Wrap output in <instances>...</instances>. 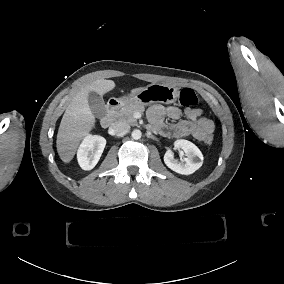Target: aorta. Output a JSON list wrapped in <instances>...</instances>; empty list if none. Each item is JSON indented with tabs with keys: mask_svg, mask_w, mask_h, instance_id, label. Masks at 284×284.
Masks as SVG:
<instances>
[{
	"mask_svg": "<svg viewBox=\"0 0 284 284\" xmlns=\"http://www.w3.org/2000/svg\"><path fill=\"white\" fill-rule=\"evenodd\" d=\"M131 136H132L133 139L138 140V139L141 138L142 133L139 129H135V130L132 131Z\"/></svg>",
	"mask_w": 284,
	"mask_h": 284,
	"instance_id": "aorta-1",
	"label": "aorta"
}]
</instances>
